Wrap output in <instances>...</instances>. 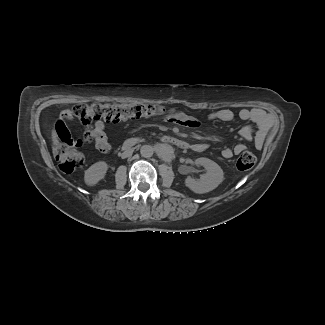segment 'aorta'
I'll return each instance as SVG.
<instances>
[{"label":"aorta","mask_w":325,"mask_h":325,"mask_svg":"<svg viewBox=\"0 0 325 325\" xmlns=\"http://www.w3.org/2000/svg\"><path fill=\"white\" fill-rule=\"evenodd\" d=\"M141 156L144 158H150L154 154V148L150 145H143L140 149Z\"/></svg>","instance_id":"762f6f07"}]
</instances>
